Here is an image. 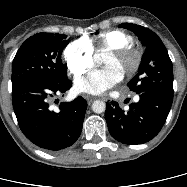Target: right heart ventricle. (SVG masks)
<instances>
[{
    "label": "right heart ventricle",
    "instance_id": "right-heart-ventricle-1",
    "mask_svg": "<svg viewBox=\"0 0 187 187\" xmlns=\"http://www.w3.org/2000/svg\"><path fill=\"white\" fill-rule=\"evenodd\" d=\"M87 41L97 52H107L118 47L133 46L134 44L133 38L121 30L104 31Z\"/></svg>",
    "mask_w": 187,
    "mask_h": 187
}]
</instances>
